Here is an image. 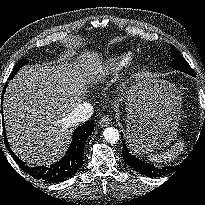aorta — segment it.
I'll list each match as a JSON object with an SVG mask.
<instances>
[{
  "label": "aorta",
  "instance_id": "obj_1",
  "mask_svg": "<svg viewBox=\"0 0 205 205\" xmlns=\"http://www.w3.org/2000/svg\"><path fill=\"white\" fill-rule=\"evenodd\" d=\"M105 140L111 144H115L119 141L120 133L116 128L108 127L103 131Z\"/></svg>",
  "mask_w": 205,
  "mask_h": 205
}]
</instances>
